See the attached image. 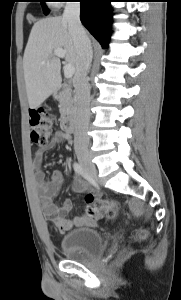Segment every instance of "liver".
Segmentation results:
<instances>
[{"label": "liver", "mask_w": 181, "mask_h": 300, "mask_svg": "<svg viewBox=\"0 0 181 300\" xmlns=\"http://www.w3.org/2000/svg\"><path fill=\"white\" fill-rule=\"evenodd\" d=\"M65 51V62L76 70V49L68 24L62 17L37 21L30 32L23 56L24 79L29 107L36 109L61 84V62L54 50Z\"/></svg>", "instance_id": "liver-1"}]
</instances>
